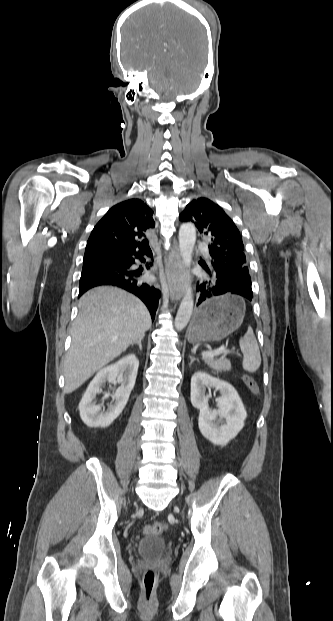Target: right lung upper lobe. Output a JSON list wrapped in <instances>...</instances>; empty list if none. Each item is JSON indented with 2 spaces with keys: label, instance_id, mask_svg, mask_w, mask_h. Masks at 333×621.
Wrapping results in <instances>:
<instances>
[{
  "label": "right lung upper lobe",
  "instance_id": "cb5924a9",
  "mask_svg": "<svg viewBox=\"0 0 333 621\" xmlns=\"http://www.w3.org/2000/svg\"><path fill=\"white\" fill-rule=\"evenodd\" d=\"M152 215V209L140 199L116 204L92 230L84 260L150 252L148 240L142 238L155 226Z\"/></svg>",
  "mask_w": 333,
  "mask_h": 621
}]
</instances>
